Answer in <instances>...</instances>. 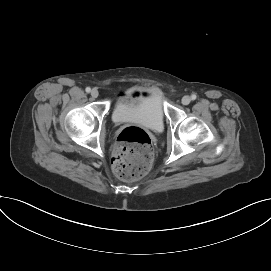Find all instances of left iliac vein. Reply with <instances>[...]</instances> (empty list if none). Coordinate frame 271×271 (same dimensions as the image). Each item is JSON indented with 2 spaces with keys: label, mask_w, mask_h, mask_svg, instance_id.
<instances>
[{
  "label": "left iliac vein",
  "mask_w": 271,
  "mask_h": 271,
  "mask_svg": "<svg viewBox=\"0 0 271 271\" xmlns=\"http://www.w3.org/2000/svg\"><path fill=\"white\" fill-rule=\"evenodd\" d=\"M191 102V98L189 96H184L182 98V104L183 105H188Z\"/></svg>",
  "instance_id": "4c4485c4"
}]
</instances>
